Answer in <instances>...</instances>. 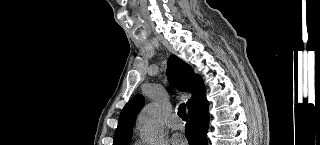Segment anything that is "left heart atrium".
<instances>
[{
  "mask_svg": "<svg viewBox=\"0 0 320 145\" xmlns=\"http://www.w3.org/2000/svg\"><path fill=\"white\" fill-rule=\"evenodd\" d=\"M182 142H183V139L181 137H174V139H173V143L175 145H181Z\"/></svg>",
  "mask_w": 320,
  "mask_h": 145,
  "instance_id": "left-heart-atrium-1",
  "label": "left heart atrium"
}]
</instances>
